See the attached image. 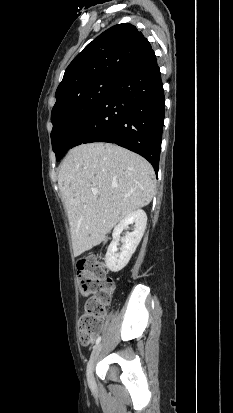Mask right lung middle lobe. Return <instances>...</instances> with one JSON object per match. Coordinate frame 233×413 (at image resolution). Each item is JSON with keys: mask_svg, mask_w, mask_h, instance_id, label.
Wrapping results in <instances>:
<instances>
[{"mask_svg": "<svg viewBox=\"0 0 233 413\" xmlns=\"http://www.w3.org/2000/svg\"><path fill=\"white\" fill-rule=\"evenodd\" d=\"M115 77L95 79L56 99L52 109V148L59 161L114 84Z\"/></svg>", "mask_w": 233, "mask_h": 413, "instance_id": "right-lung-middle-lobe-1", "label": "right lung middle lobe"}]
</instances>
